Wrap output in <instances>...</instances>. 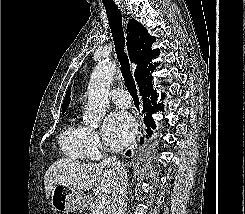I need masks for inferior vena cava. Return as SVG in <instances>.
I'll use <instances>...</instances> for the list:
<instances>
[{
  "label": "inferior vena cava",
  "instance_id": "602c4592",
  "mask_svg": "<svg viewBox=\"0 0 245 214\" xmlns=\"http://www.w3.org/2000/svg\"><path fill=\"white\" fill-rule=\"evenodd\" d=\"M103 166H111L112 170L117 174V181L112 191V214H126L124 204L127 198V172L123 163L116 161V156L106 157L101 162Z\"/></svg>",
  "mask_w": 245,
  "mask_h": 214
}]
</instances>
